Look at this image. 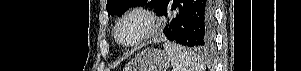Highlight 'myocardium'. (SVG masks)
Segmentation results:
<instances>
[{
  "mask_svg": "<svg viewBox=\"0 0 301 71\" xmlns=\"http://www.w3.org/2000/svg\"><path fill=\"white\" fill-rule=\"evenodd\" d=\"M133 17L141 18L145 22V28L143 32L132 42H123L119 38V28L125 20ZM160 27L161 22L155 13L145 8H134L122 14L118 19L114 27V38L119 45L126 48H132L151 38L156 32H158Z\"/></svg>",
  "mask_w": 301,
  "mask_h": 71,
  "instance_id": "myocardium-1",
  "label": "myocardium"
}]
</instances>
